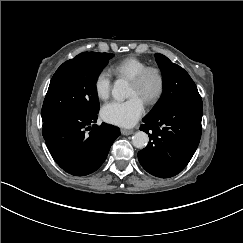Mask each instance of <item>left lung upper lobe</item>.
Segmentation results:
<instances>
[{"instance_id": "obj_1", "label": "left lung upper lobe", "mask_w": 243, "mask_h": 243, "mask_svg": "<svg viewBox=\"0 0 243 243\" xmlns=\"http://www.w3.org/2000/svg\"><path fill=\"white\" fill-rule=\"evenodd\" d=\"M156 61L163 76V94L145 119L158 116L173 102L184 98H201L194 81L179 65L166 56L156 53Z\"/></svg>"}]
</instances>
